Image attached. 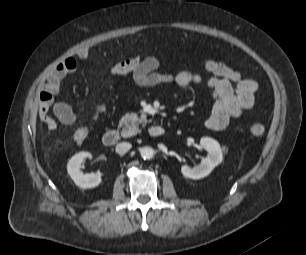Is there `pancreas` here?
I'll use <instances>...</instances> for the list:
<instances>
[{
	"label": "pancreas",
	"instance_id": "1",
	"mask_svg": "<svg viewBox=\"0 0 306 255\" xmlns=\"http://www.w3.org/2000/svg\"><path fill=\"white\" fill-rule=\"evenodd\" d=\"M147 119L145 114L140 116L137 113H128L124 115L119 121V127H122L121 136L124 138L136 135L141 131L140 125L145 127Z\"/></svg>",
	"mask_w": 306,
	"mask_h": 255
}]
</instances>
